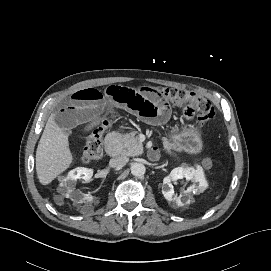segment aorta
Listing matches in <instances>:
<instances>
[{"instance_id":"aorta-1","label":"aorta","mask_w":271,"mask_h":271,"mask_svg":"<svg viewBox=\"0 0 271 271\" xmlns=\"http://www.w3.org/2000/svg\"><path fill=\"white\" fill-rule=\"evenodd\" d=\"M146 168L142 163H134L131 166V173L133 176L140 177L145 174Z\"/></svg>"}]
</instances>
